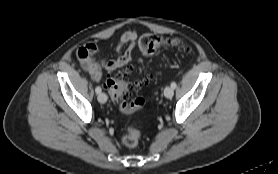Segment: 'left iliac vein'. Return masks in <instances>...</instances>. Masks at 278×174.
<instances>
[{
  "label": "left iliac vein",
  "mask_w": 278,
  "mask_h": 174,
  "mask_svg": "<svg viewBox=\"0 0 278 174\" xmlns=\"http://www.w3.org/2000/svg\"><path fill=\"white\" fill-rule=\"evenodd\" d=\"M164 95L166 98L171 99L174 95V90L172 87L167 86L164 90Z\"/></svg>",
  "instance_id": "obj_1"
}]
</instances>
